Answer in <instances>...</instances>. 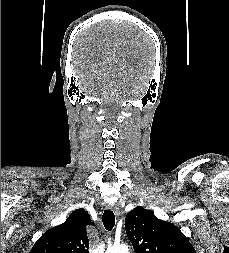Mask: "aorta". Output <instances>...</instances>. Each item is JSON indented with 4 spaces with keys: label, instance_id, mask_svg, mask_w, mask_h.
Instances as JSON below:
<instances>
[{
    "label": "aorta",
    "instance_id": "762f6f07",
    "mask_svg": "<svg viewBox=\"0 0 229 253\" xmlns=\"http://www.w3.org/2000/svg\"><path fill=\"white\" fill-rule=\"evenodd\" d=\"M106 253H129V249L125 244L115 245L108 248Z\"/></svg>",
    "mask_w": 229,
    "mask_h": 253
}]
</instances>
